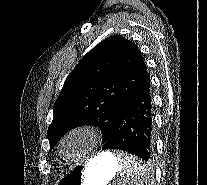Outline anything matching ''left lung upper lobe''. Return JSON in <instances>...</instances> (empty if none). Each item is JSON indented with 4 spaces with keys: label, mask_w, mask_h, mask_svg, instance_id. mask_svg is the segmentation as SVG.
<instances>
[{
    "label": "left lung upper lobe",
    "mask_w": 207,
    "mask_h": 185,
    "mask_svg": "<svg viewBox=\"0 0 207 185\" xmlns=\"http://www.w3.org/2000/svg\"><path fill=\"white\" fill-rule=\"evenodd\" d=\"M149 79L134 43L119 35L103 40L64 82L47 132L50 149L66 132L83 125L98 126L105 144L120 108Z\"/></svg>",
    "instance_id": "1"
}]
</instances>
